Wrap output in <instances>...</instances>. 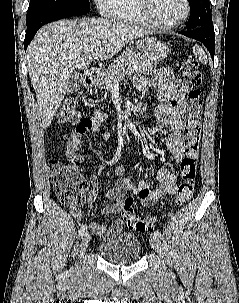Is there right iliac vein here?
I'll list each match as a JSON object with an SVG mask.
<instances>
[{
	"mask_svg": "<svg viewBox=\"0 0 239 303\" xmlns=\"http://www.w3.org/2000/svg\"><path fill=\"white\" fill-rule=\"evenodd\" d=\"M90 234L88 232H86L82 238H81V242H80V248H79V252L80 255H83L84 252L86 251L89 241H90Z\"/></svg>",
	"mask_w": 239,
	"mask_h": 303,
	"instance_id": "63e3f726",
	"label": "right iliac vein"
}]
</instances>
